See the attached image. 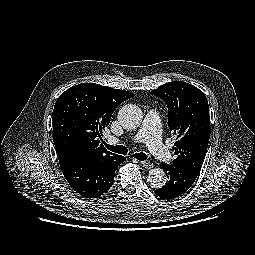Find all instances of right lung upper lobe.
Here are the masks:
<instances>
[{"mask_svg":"<svg viewBox=\"0 0 255 255\" xmlns=\"http://www.w3.org/2000/svg\"><path fill=\"white\" fill-rule=\"evenodd\" d=\"M132 92L95 83H82L64 91L53 114V141L59 162L68 159H105L115 156L100 143L115 109Z\"/></svg>","mask_w":255,"mask_h":255,"instance_id":"right-lung-upper-lobe-1","label":"right lung upper lobe"}]
</instances>
